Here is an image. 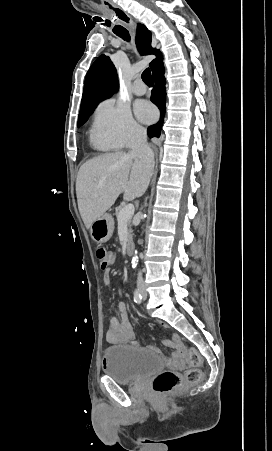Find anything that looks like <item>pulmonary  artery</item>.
Segmentation results:
<instances>
[{
	"mask_svg": "<svg viewBox=\"0 0 272 451\" xmlns=\"http://www.w3.org/2000/svg\"><path fill=\"white\" fill-rule=\"evenodd\" d=\"M136 86H135V88L133 89V93L135 94V95H137V96H142V95H144L145 94V92H144V86H143V81L142 80H137L136 81Z\"/></svg>",
	"mask_w": 272,
	"mask_h": 451,
	"instance_id": "pulmonary-artery-1",
	"label": "pulmonary artery"
}]
</instances>
